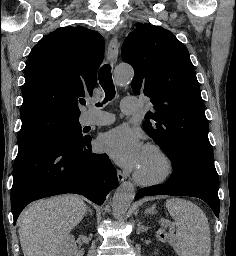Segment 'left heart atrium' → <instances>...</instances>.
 Returning a JSON list of instances; mask_svg holds the SVG:
<instances>
[{"label":"left heart atrium","mask_w":236,"mask_h":256,"mask_svg":"<svg viewBox=\"0 0 236 256\" xmlns=\"http://www.w3.org/2000/svg\"><path fill=\"white\" fill-rule=\"evenodd\" d=\"M99 145L112 161L129 170L137 169L146 149L139 132L125 126L104 134Z\"/></svg>","instance_id":"1"}]
</instances>
